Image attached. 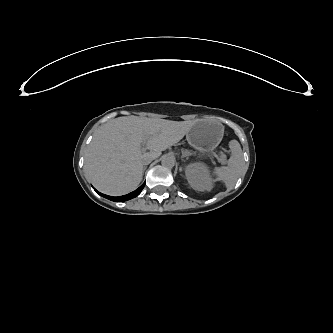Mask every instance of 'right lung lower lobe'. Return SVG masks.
Returning <instances> with one entry per match:
<instances>
[{
    "instance_id": "right-lung-lower-lobe-1",
    "label": "right lung lower lobe",
    "mask_w": 333,
    "mask_h": 333,
    "mask_svg": "<svg viewBox=\"0 0 333 333\" xmlns=\"http://www.w3.org/2000/svg\"><path fill=\"white\" fill-rule=\"evenodd\" d=\"M144 185H145V184L141 185V186H140L137 190H135L134 192H132V193H130V194H128V195H125V196L118 197V198H123V199H125L126 196H134V195H138V194L141 192V190L143 189ZM97 192H98V191H97ZM98 193H99V194H102V193H100V192H98ZM104 196H107V195H104ZM112 198H114V197H112ZM118 200H120V199H118Z\"/></svg>"
}]
</instances>
